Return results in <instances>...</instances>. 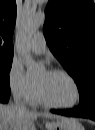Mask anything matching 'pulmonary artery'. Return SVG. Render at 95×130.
I'll return each mask as SVG.
<instances>
[{"instance_id":"pulmonary-artery-1","label":"pulmonary artery","mask_w":95,"mask_h":130,"mask_svg":"<svg viewBox=\"0 0 95 130\" xmlns=\"http://www.w3.org/2000/svg\"><path fill=\"white\" fill-rule=\"evenodd\" d=\"M30 49L37 53L42 54L46 51V41L43 33H36L30 41Z\"/></svg>"}]
</instances>
